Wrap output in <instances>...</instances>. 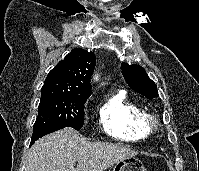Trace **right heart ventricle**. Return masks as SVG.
I'll list each match as a JSON object with an SVG mask.
<instances>
[{
  "mask_svg": "<svg viewBox=\"0 0 199 171\" xmlns=\"http://www.w3.org/2000/svg\"><path fill=\"white\" fill-rule=\"evenodd\" d=\"M98 113L103 131L114 139L143 142L152 136L147 113L123 90L110 94L100 105Z\"/></svg>",
  "mask_w": 199,
  "mask_h": 171,
  "instance_id": "1",
  "label": "right heart ventricle"
}]
</instances>
